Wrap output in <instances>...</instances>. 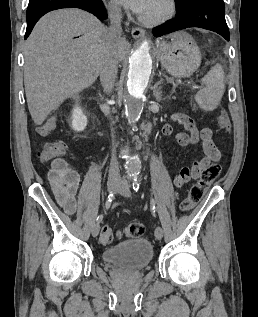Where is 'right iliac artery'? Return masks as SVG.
I'll use <instances>...</instances> for the list:
<instances>
[{
  "label": "right iliac artery",
  "mask_w": 258,
  "mask_h": 317,
  "mask_svg": "<svg viewBox=\"0 0 258 317\" xmlns=\"http://www.w3.org/2000/svg\"><path fill=\"white\" fill-rule=\"evenodd\" d=\"M114 196H115V193H113V192H111V193L108 195V197H107V199H106V202H105V207H106V209H109V208H110V206H111V204H112V202H113ZM102 219H103V215L101 214V215H99V216L97 217L96 221H97L98 223H100V222L102 221Z\"/></svg>",
  "instance_id": "1"
}]
</instances>
